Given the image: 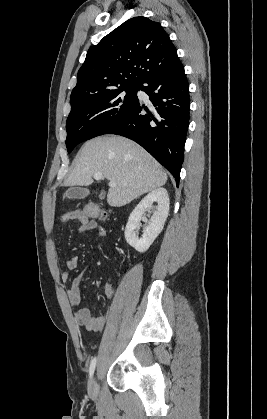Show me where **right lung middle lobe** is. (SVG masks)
<instances>
[{
	"mask_svg": "<svg viewBox=\"0 0 267 419\" xmlns=\"http://www.w3.org/2000/svg\"><path fill=\"white\" fill-rule=\"evenodd\" d=\"M138 87H127L84 97L71 104L66 122V147L70 153L79 143L105 134L120 121L137 100Z\"/></svg>",
	"mask_w": 267,
	"mask_h": 419,
	"instance_id": "1",
	"label": "right lung middle lobe"
}]
</instances>
